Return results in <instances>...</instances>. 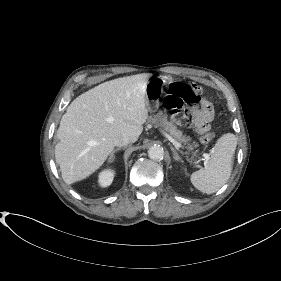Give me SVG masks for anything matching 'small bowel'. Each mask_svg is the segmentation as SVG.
Wrapping results in <instances>:
<instances>
[{
	"mask_svg": "<svg viewBox=\"0 0 281 281\" xmlns=\"http://www.w3.org/2000/svg\"><path fill=\"white\" fill-rule=\"evenodd\" d=\"M192 116L199 133L208 131L210 129V122L214 117L212 104L208 100L203 99L200 107L193 109Z\"/></svg>",
	"mask_w": 281,
	"mask_h": 281,
	"instance_id": "obj_1",
	"label": "small bowel"
}]
</instances>
